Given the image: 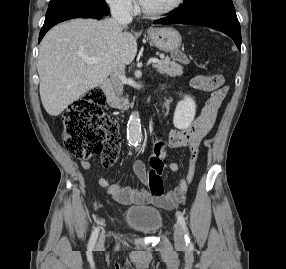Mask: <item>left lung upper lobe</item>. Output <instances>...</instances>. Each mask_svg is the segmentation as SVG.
I'll return each instance as SVG.
<instances>
[{"mask_svg": "<svg viewBox=\"0 0 286 269\" xmlns=\"http://www.w3.org/2000/svg\"><path fill=\"white\" fill-rule=\"evenodd\" d=\"M205 9H234V5L232 0H184V5L172 12L184 14Z\"/></svg>", "mask_w": 286, "mask_h": 269, "instance_id": "1", "label": "left lung upper lobe"}]
</instances>
